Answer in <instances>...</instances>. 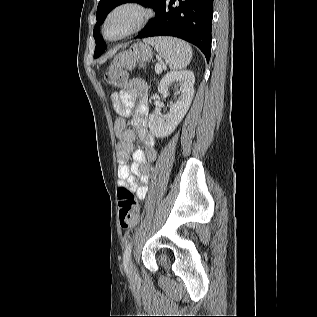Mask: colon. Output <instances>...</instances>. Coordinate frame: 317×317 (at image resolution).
Segmentation results:
<instances>
[{
    "label": "colon",
    "instance_id": "obj_1",
    "mask_svg": "<svg viewBox=\"0 0 317 317\" xmlns=\"http://www.w3.org/2000/svg\"><path fill=\"white\" fill-rule=\"evenodd\" d=\"M128 58L125 55L116 57L109 66L106 80L110 85L121 86L127 80L125 69L128 67ZM119 223L123 228H130L137 224L139 208L133 192L127 187H120L117 192Z\"/></svg>",
    "mask_w": 317,
    "mask_h": 317
}]
</instances>
